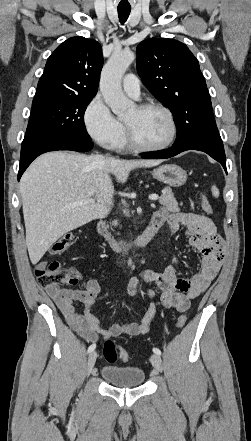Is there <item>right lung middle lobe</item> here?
<instances>
[{
  "mask_svg": "<svg viewBox=\"0 0 251 441\" xmlns=\"http://www.w3.org/2000/svg\"><path fill=\"white\" fill-rule=\"evenodd\" d=\"M93 97L47 98L33 101L27 128H39L74 140L91 139L84 124Z\"/></svg>",
  "mask_w": 251,
  "mask_h": 441,
  "instance_id": "dd1d6c3e",
  "label": "right lung middle lobe"
}]
</instances>
